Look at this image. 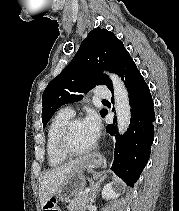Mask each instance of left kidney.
Wrapping results in <instances>:
<instances>
[{
  "mask_svg": "<svg viewBox=\"0 0 179 211\" xmlns=\"http://www.w3.org/2000/svg\"><path fill=\"white\" fill-rule=\"evenodd\" d=\"M118 197V194L116 193L115 187L112 186V184H106L103 187L102 190V198L103 199H115Z\"/></svg>",
  "mask_w": 179,
  "mask_h": 211,
  "instance_id": "5707ae66",
  "label": "left kidney"
}]
</instances>
